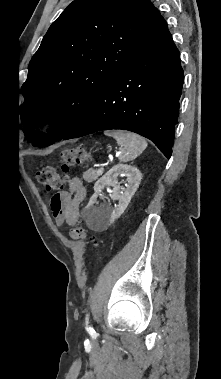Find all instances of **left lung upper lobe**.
Wrapping results in <instances>:
<instances>
[{"mask_svg": "<svg viewBox=\"0 0 221 379\" xmlns=\"http://www.w3.org/2000/svg\"><path fill=\"white\" fill-rule=\"evenodd\" d=\"M160 19L150 0H74L30 61L20 107L27 140L42 147L63 139ZM55 122L48 134L35 131Z\"/></svg>", "mask_w": 221, "mask_h": 379, "instance_id": "5c2ea615", "label": "left lung upper lobe"}]
</instances>
